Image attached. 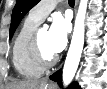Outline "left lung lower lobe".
<instances>
[{
  "label": "left lung lower lobe",
  "instance_id": "0a47b994",
  "mask_svg": "<svg viewBox=\"0 0 107 89\" xmlns=\"http://www.w3.org/2000/svg\"><path fill=\"white\" fill-rule=\"evenodd\" d=\"M50 79L57 82L61 86V81H62V71L59 70L53 75L50 76ZM69 89H79V86L77 83H73L69 86Z\"/></svg>",
  "mask_w": 107,
  "mask_h": 89
}]
</instances>
